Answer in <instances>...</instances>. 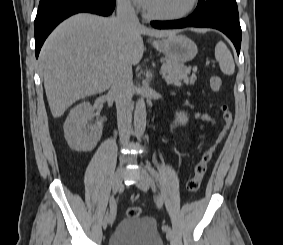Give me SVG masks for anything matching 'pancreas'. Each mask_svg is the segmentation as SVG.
Instances as JSON below:
<instances>
[{
  "mask_svg": "<svg viewBox=\"0 0 283 245\" xmlns=\"http://www.w3.org/2000/svg\"><path fill=\"white\" fill-rule=\"evenodd\" d=\"M162 67L163 78L168 84H174L180 87L182 85L181 81H183L185 84L193 85L196 80V75L192 74L191 77L188 76L190 74V71L182 63L164 58Z\"/></svg>",
  "mask_w": 283,
  "mask_h": 245,
  "instance_id": "obj_1",
  "label": "pancreas"
}]
</instances>
